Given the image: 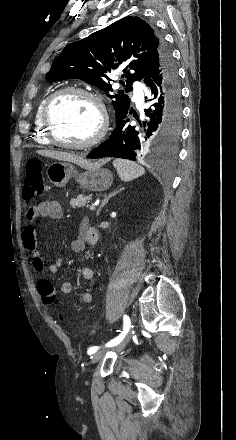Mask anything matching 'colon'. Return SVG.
Wrapping results in <instances>:
<instances>
[{
  "instance_id": "obj_1",
  "label": "colon",
  "mask_w": 236,
  "mask_h": 440,
  "mask_svg": "<svg viewBox=\"0 0 236 440\" xmlns=\"http://www.w3.org/2000/svg\"><path fill=\"white\" fill-rule=\"evenodd\" d=\"M45 188L43 169L40 161L33 159L26 165L23 196L27 200L40 196ZM38 291L45 306L52 308L56 304V295L52 283L42 279L38 282Z\"/></svg>"
}]
</instances>
